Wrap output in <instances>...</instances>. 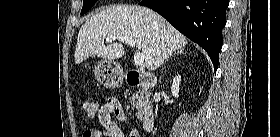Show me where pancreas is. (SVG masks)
Returning a JSON list of instances; mask_svg holds the SVG:
<instances>
[{"instance_id":"pancreas-1","label":"pancreas","mask_w":280,"mask_h":137,"mask_svg":"<svg viewBox=\"0 0 280 137\" xmlns=\"http://www.w3.org/2000/svg\"><path fill=\"white\" fill-rule=\"evenodd\" d=\"M131 104L137 110V118L142 119L143 114L148 113L152 110L151 103L149 101V93L143 89L142 91H137L131 97Z\"/></svg>"}]
</instances>
